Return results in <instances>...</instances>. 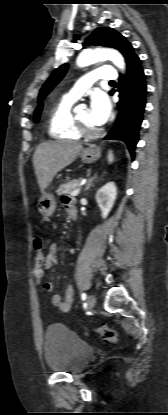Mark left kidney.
<instances>
[{
	"mask_svg": "<svg viewBox=\"0 0 168 415\" xmlns=\"http://www.w3.org/2000/svg\"><path fill=\"white\" fill-rule=\"evenodd\" d=\"M117 196V188L114 182H109L100 188L95 199L101 209L102 217L106 218L111 211Z\"/></svg>",
	"mask_w": 168,
	"mask_h": 415,
	"instance_id": "5707ae66",
	"label": "left kidney"
}]
</instances>
